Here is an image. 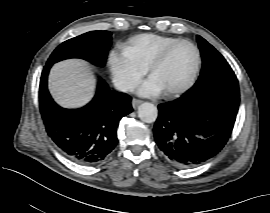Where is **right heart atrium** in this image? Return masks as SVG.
I'll list each match as a JSON object with an SVG mask.
<instances>
[{"label": "right heart atrium", "instance_id": "d8ad5b80", "mask_svg": "<svg viewBox=\"0 0 270 213\" xmlns=\"http://www.w3.org/2000/svg\"><path fill=\"white\" fill-rule=\"evenodd\" d=\"M110 66L117 85L123 90H132L142 80L147 68L133 63L126 56L124 49L114 51L110 55Z\"/></svg>", "mask_w": 270, "mask_h": 213}]
</instances>
